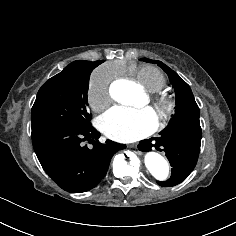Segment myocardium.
Masks as SVG:
<instances>
[{
	"label": "myocardium",
	"instance_id": "f54148a6",
	"mask_svg": "<svg viewBox=\"0 0 236 236\" xmlns=\"http://www.w3.org/2000/svg\"><path fill=\"white\" fill-rule=\"evenodd\" d=\"M150 108L155 113V129L163 130L169 126L176 113V101L167 93H159L150 102Z\"/></svg>",
	"mask_w": 236,
	"mask_h": 236
}]
</instances>
